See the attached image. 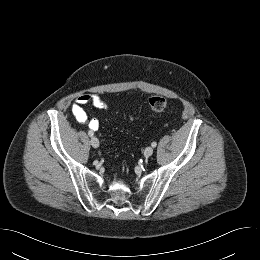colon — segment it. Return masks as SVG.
<instances>
[{"mask_svg": "<svg viewBox=\"0 0 260 260\" xmlns=\"http://www.w3.org/2000/svg\"><path fill=\"white\" fill-rule=\"evenodd\" d=\"M149 107L155 113L163 112L167 106V100L162 96H153L149 99Z\"/></svg>", "mask_w": 260, "mask_h": 260, "instance_id": "colon-1", "label": "colon"}]
</instances>
